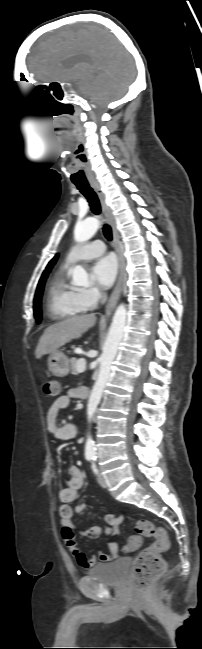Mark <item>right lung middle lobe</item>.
<instances>
[{
	"mask_svg": "<svg viewBox=\"0 0 202 649\" xmlns=\"http://www.w3.org/2000/svg\"><path fill=\"white\" fill-rule=\"evenodd\" d=\"M49 272L50 271H47L44 274H42V276L40 278V281L38 283V286H37L36 293H35L33 308H34V317H35V319L38 320V322L41 319V313H42V311H41V297H42V294H43L44 284L46 282V279L48 277Z\"/></svg>",
	"mask_w": 202,
	"mask_h": 649,
	"instance_id": "right-lung-middle-lobe-1",
	"label": "right lung middle lobe"
}]
</instances>
